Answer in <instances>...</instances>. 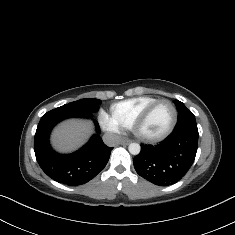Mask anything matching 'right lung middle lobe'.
Listing matches in <instances>:
<instances>
[{
    "instance_id": "1",
    "label": "right lung middle lobe",
    "mask_w": 235,
    "mask_h": 235,
    "mask_svg": "<svg viewBox=\"0 0 235 235\" xmlns=\"http://www.w3.org/2000/svg\"><path fill=\"white\" fill-rule=\"evenodd\" d=\"M100 103L101 100L99 99L87 98L65 104L54 110L59 114H64L67 117L91 116L93 113L98 111Z\"/></svg>"
}]
</instances>
